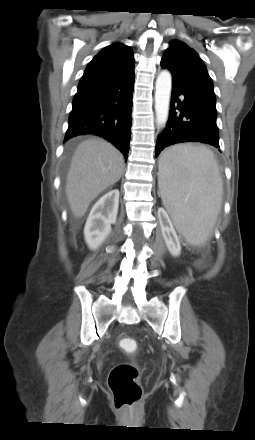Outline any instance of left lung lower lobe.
I'll return each instance as SVG.
<instances>
[{"label": "left lung lower lobe", "mask_w": 255, "mask_h": 440, "mask_svg": "<svg viewBox=\"0 0 255 440\" xmlns=\"http://www.w3.org/2000/svg\"><path fill=\"white\" fill-rule=\"evenodd\" d=\"M179 95L185 97L182 102L178 98ZM216 117L214 105L197 100L179 86L172 84L169 120L158 137L155 156L166 147L183 142H201L219 148Z\"/></svg>", "instance_id": "left-lung-lower-lobe-1"}]
</instances>
